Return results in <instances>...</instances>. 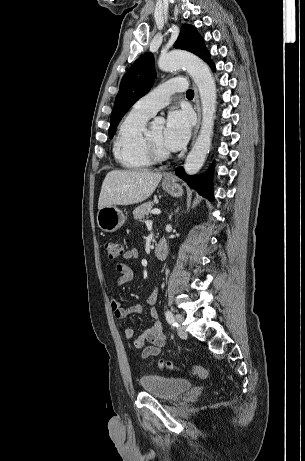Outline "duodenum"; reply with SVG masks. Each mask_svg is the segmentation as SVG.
I'll list each match as a JSON object with an SVG mask.
<instances>
[{"label": "duodenum", "instance_id": "obj_1", "mask_svg": "<svg viewBox=\"0 0 305 461\" xmlns=\"http://www.w3.org/2000/svg\"><path fill=\"white\" fill-rule=\"evenodd\" d=\"M168 245L165 240H159L155 246V256L158 260H164L167 257Z\"/></svg>", "mask_w": 305, "mask_h": 461}]
</instances>
